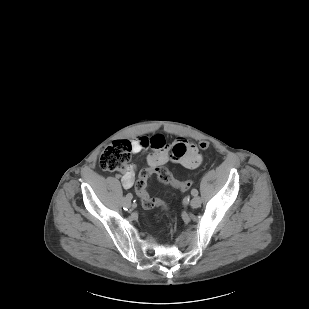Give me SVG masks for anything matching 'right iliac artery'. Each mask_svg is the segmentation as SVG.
Here are the masks:
<instances>
[{
	"label": "right iliac artery",
	"instance_id": "obj_1",
	"mask_svg": "<svg viewBox=\"0 0 309 309\" xmlns=\"http://www.w3.org/2000/svg\"><path fill=\"white\" fill-rule=\"evenodd\" d=\"M132 195L131 194H126V199H131Z\"/></svg>",
	"mask_w": 309,
	"mask_h": 309
}]
</instances>
